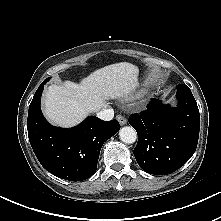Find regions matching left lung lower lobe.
Wrapping results in <instances>:
<instances>
[{
    "label": "left lung lower lobe",
    "instance_id": "0a47b994",
    "mask_svg": "<svg viewBox=\"0 0 221 221\" xmlns=\"http://www.w3.org/2000/svg\"><path fill=\"white\" fill-rule=\"evenodd\" d=\"M177 107L153 99L146 111L132 115L129 124L137 131L133 151L140 167L167 175L182 167L194 154L199 137L200 115L188 86H177Z\"/></svg>",
    "mask_w": 221,
    "mask_h": 221
}]
</instances>
